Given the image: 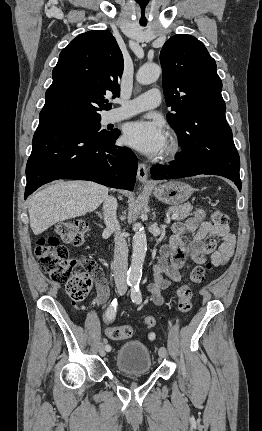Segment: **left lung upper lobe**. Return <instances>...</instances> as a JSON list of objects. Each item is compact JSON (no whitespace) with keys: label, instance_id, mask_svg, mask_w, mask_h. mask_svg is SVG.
Segmentation results:
<instances>
[{"label":"left lung upper lobe","instance_id":"obj_1","mask_svg":"<svg viewBox=\"0 0 262 431\" xmlns=\"http://www.w3.org/2000/svg\"><path fill=\"white\" fill-rule=\"evenodd\" d=\"M160 63L166 102L174 112L167 119L183 151L177 157L208 162L236 150L225 118L222 82L203 43L191 35H175L164 44Z\"/></svg>","mask_w":262,"mask_h":431}]
</instances>
